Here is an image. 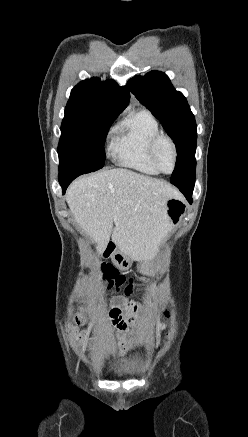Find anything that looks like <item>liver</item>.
Returning <instances> with one entry per match:
<instances>
[{"instance_id":"6515ba94","label":"liver","mask_w":248,"mask_h":437,"mask_svg":"<svg viewBox=\"0 0 248 437\" xmlns=\"http://www.w3.org/2000/svg\"><path fill=\"white\" fill-rule=\"evenodd\" d=\"M170 198L179 194L169 183L123 168L81 177L66 193L75 221L98 253L112 234L119 251L135 261L153 258L167 237Z\"/></svg>"}]
</instances>
